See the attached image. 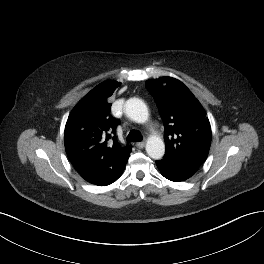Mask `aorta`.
Wrapping results in <instances>:
<instances>
[{
	"instance_id": "762f6f07",
	"label": "aorta",
	"mask_w": 264,
	"mask_h": 264,
	"mask_svg": "<svg viewBox=\"0 0 264 264\" xmlns=\"http://www.w3.org/2000/svg\"><path fill=\"white\" fill-rule=\"evenodd\" d=\"M125 113L137 123L146 122L149 116L146 104L138 98H130L126 101ZM146 152L152 159H161L165 153L163 140L157 136L149 137L146 143Z\"/></svg>"
}]
</instances>
